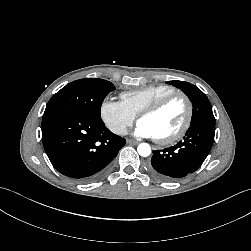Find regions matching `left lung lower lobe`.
<instances>
[{
	"label": "left lung lower lobe",
	"instance_id": "left-lung-lower-lobe-1",
	"mask_svg": "<svg viewBox=\"0 0 251 251\" xmlns=\"http://www.w3.org/2000/svg\"><path fill=\"white\" fill-rule=\"evenodd\" d=\"M215 122L190 125L182 141L153 151L149 170L160 179L173 181L196 171L206 159L214 141Z\"/></svg>",
	"mask_w": 251,
	"mask_h": 251
}]
</instances>
